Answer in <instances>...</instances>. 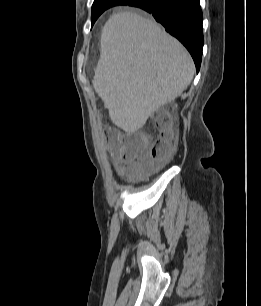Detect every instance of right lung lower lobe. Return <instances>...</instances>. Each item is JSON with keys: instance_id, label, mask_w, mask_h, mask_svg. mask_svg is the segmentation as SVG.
Here are the masks:
<instances>
[{"instance_id": "right-lung-lower-lobe-1", "label": "right lung lower lobe", "mask_w": 261, "mask_h": 306, "mask_svg": "<svg viewBox=\"0 0 261 306\" xmlns=\"http://www.w3.org/2000/svg\"><path fill=\"white\" fill-rule=\"evenodd\" d=\"M200 0H128L123 5L141 8L153 15L167 32L176 37L190 52L199 71L203 29Z\"/></svg>"}]
</instances>
